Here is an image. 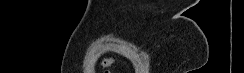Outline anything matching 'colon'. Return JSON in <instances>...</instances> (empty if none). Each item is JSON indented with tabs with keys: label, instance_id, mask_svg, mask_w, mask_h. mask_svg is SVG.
I'll list each match as a JSON object with an SVG mask.
<instances>
[{
	"label": "colon",
	"instance_id": "colon-1",
	"mask_svg": "<svg viewBox=\"0 0 244 73\" xmlns=\"http://www.w3.org/2000/svg\"><path fill=\"white\" fill-rule=\"evenodd\" d=\"M112 61L110 59H105L102 62V67L104 69V73H109V67L111 65Z\"/></svg>",
	"mask_w": 244,
	"mask_h": 73
}]
</instances>
